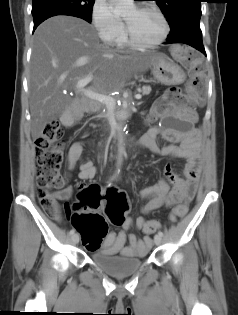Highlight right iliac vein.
Masks as SVG:
<instances>
[{"label":"right iliac vein","mask_w":238,"mask_h":315,"mask_svg":"<svg viewBox=\"0 0 238 315\" xmlns=\"http://www.w3.org/2000/svg\"><path fill=\"white\" fill-rule=\"evenodd\" d=\"M79 240H80L79 234H74L72 236V241L74 244H77L79 242Z\"/></svg>","instance_id":"63e3f726"}]
</instances>
